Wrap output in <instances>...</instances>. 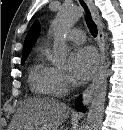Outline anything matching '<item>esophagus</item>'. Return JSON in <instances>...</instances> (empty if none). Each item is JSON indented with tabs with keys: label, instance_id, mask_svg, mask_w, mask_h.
<instances>
[{
	"label": "esophagus",
	"instance_id": "1",
	"mask_svg": "<svg viewBox=\"0 0 123 130\" xmlns=\"http://www.w3.org/2000/svg\"><path fill=\"white\" fill-rule=\"evenodd\" d=\"M86 1H87L89 8H90L93 20L95 21V23L97 25V29H98V46H99V50H100V65H99L98 72L96 73L92 82L83 92V95H82V104L83 105H87L89 103L90 99L92 98V95H93L94 90H95L96 85H97L99 73H100V71L103 67L104 57H105V37H104L103 25H102V22H101V19H100V16H99L98 9L94 5L93 0H86ZM74 116L75 117H81L82 112L76 111L74 113Z\"/></svg>",
	"mask_w": 123,
	"mask_h": 130
}]
</instances>
